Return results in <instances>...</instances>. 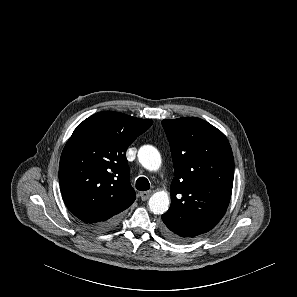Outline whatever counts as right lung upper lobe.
<instances>
[{
  "mask_svg": "<svg viewBox=\"0 0 297 297\" xmlns=\"http://www.w3.org/2000/svg\"><path fill=\"white\" fill-rule=\"evenodd\" d=\"M152 123L105 111L74 130L61 154L59 183L67 208L87 226L109 220L134 202L126 150Z\"/></svg>",
  "mask_w": 297,
  "mask_h": 297,
  "instance_id": "obj_1",
  "label": "right lung upper lobe"
}]
</instances>
